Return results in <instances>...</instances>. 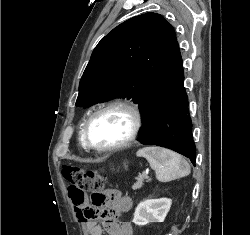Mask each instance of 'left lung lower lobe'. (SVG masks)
<instances>
[{
    "label": "left lung lower lobe",
    "instance_id": "0a47b994",
    "mask_svg": "<svg viewBox=\"0 0 250 235\" xmlns=\"http://www.w3.org/2000/svg\"><path fill=\"white\" fill-rule=\"evenodd\" d=\"M182 58L176 41L144 92L139 105L143 127L139 141L174 150L195 165Z\"/></svg>",
    "mask_w": 250,
    "mask_h": 235
}]
</instances>
